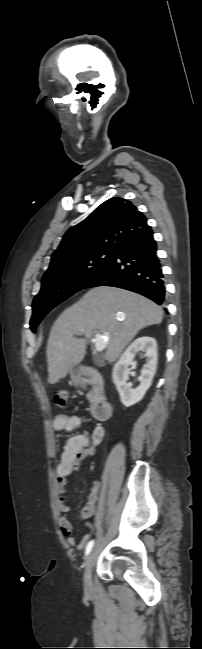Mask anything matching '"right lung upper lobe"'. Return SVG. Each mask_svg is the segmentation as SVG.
Returning <instances> with one entry per match:
<instances>
[{
  "mask_svg": "<svg viewBox=\"0 0 202 649\" xmlns=\"http://www.w3.org/2000/svg\"><path fill=\"white\" fill-rule=\"evenodd\" d=\"M149 229L146 217L130 201L119 197L111 198L66 232L61 244L52 254L45 274L56 270L65 261L87 252H115L123 243Z\"/></svg>",
  "mask_w": 202,
  "mask_h": 649,
  "instance_id": "1",
  "label": "right lung upper lobe"
}]
</instances>
